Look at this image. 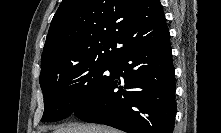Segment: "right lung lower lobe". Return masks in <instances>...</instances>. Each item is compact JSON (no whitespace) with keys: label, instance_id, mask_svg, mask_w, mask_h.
I'll list each match as a JSON object with an SVG mask.
<instances>
[{"label":"right lung lower lobe","instance_id":"98d812e1","mask_svg":"<svg viewBox=\"0 0 221 133\" xmlns=\"http://www.w3.org/2000/svg\"><path fill=\"white\" fill-rule=\"evenodd\" d=\"M174 73L169 37L126 52L114 61L104 85L74 115L128 133H172Z\"/></svg>","mask_w":221,"mask_h":133}]
</instances>
